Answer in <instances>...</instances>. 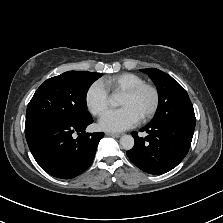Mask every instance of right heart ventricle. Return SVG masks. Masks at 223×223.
I'll list each match as a JSON object with an SVG mask.
<instances>
[{
	"instance_id": "e07e8e85",
	"label": "right heart ventricle",
	"mask_w": 223,
	"mask_h": 223,
	"mask_svg": "<svg viewBox=\"0 0 223 223\" xmlns=\"http://www.w3.org/2000/svg\"><path fill=\"white\" fill-rule=\"evenodd\" d=\"M108 91L116 94H123L132 88L144 83V80L139 75L133 73H123L103 80Z\"/></svg>"
}]
</instances>
